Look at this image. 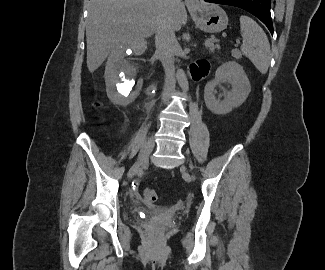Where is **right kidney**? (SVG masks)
<instances>
[{"label": "right kidney", "instance_id": "obj_1", "mask_svg": "<svg viewBox=\"0 0 325 270\" xmlns=\"http://www.w3.org/2000/svg\"><path fill=\"white\" fill-rule=\"evenodd\" d=\"M140 54L130 44H120L111 52L104 76L107 96L112 103L126 106L138 96L145 66L134 63L130 56Z\"/></svg>", "mask_w": 325, "mask_h": 270}]
</instances>
